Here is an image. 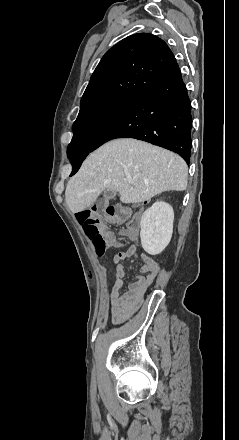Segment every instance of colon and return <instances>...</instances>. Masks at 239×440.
Returning <instances> with one entry per match:
<instances>
[{"instance_id": "1", "label": "colon", "mask_w": 239, "mask_h": 440, "mask_svg": "<svg viewBox=\"0 0 239 440\" xmlns=\"http://www.w3.org/2000/svg\"><path fill=\"white\" fill-rule=\"evenodd\" d=\"M142 210L141 205L130 206H108L102 214H96L93 211H82L78 213L77 219L82 226L85 235L92 242L95 252L98 255H104L108 247L115 244L114 235L106 229L107 222L122 223L128 221L134 213ZM138 228L136 219L129 220L126 229L123 232L125 237H132Z\"/></svg>"}]
</instances>
